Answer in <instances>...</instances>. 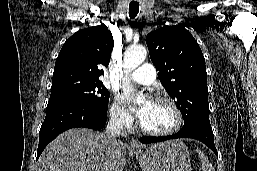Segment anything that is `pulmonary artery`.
I'll return each mask as SVG.
<instances>
[{"label": "pulmonary artery", "instance_id": "1", "mask_svg": "<svg viewBox=\"0 0 257 171\" xmlns=\"http://www.w3.org/2000/svg\"><path fill=\"white\" fill-rule=\"evenodd\" d=\"M129 78L136 83L150 85L156 80V69L150 63H143Z\"/></svg>", "mask_w": 257, "mask_h": 171}]
</instances>
